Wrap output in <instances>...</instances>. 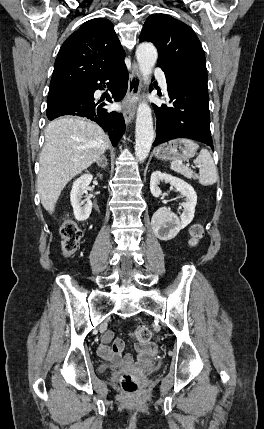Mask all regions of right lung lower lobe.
Listing matches in <instances>:
<instances>
[{"label":"right lung lower lobe","instance_id":"98d812e1","mask_svg":"<svg viewBox=\"0 0 264 429\" xmlns=\"http://www.w3.org/2000/svg\"><path fill=\"white\" fill-rule=\"evenodd\" d=\"M107 80L110 81L108 87L111 92V97L108 96L107 101L112 103L111 98L114 101H120L127 91L128 83V71L124 58L76 90L47 104L48 119L53 120L63 115L87 117L108 132L113 146H116L125 129L123 115L108 111L104 108L107 105L105 102L94 99L95 90L103 89L102 84Z\"/></svg>","mask_w":264,"mask_h":429}]
</instances>
